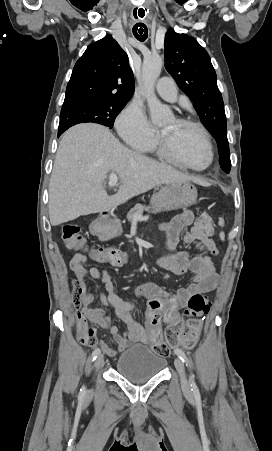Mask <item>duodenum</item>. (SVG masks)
I'll list each match as a JSON object with an SVG mask.
<instances>
[{
  "label": "duodenum",
  "mask_w": 272,
  "mask_h": 451,
  "mask_svg": "<svg viewBox=\"0 0 272 451\" xmlns=\"http://www.w3.org/2000/svg\"><path fill=\"white\" fill-rule=\"evenodd\" d=\"M107 214V213H105ZM107 217H102L95 220L91 226L92 233L100 239H107L109 237V230L107 228Z\"/></svg>",
  "instance_id": "1"
}]
</instances>
